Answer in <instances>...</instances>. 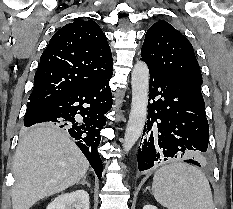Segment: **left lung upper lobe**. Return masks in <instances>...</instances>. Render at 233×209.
I'll return each instance as SVG.
<instances>
[{"mask_svg":"<svg viewBox=\"0 0 233 209\" xmlns=\"http://www.w3.org/2000/svg\"><path fill=\"white\" fill-rule=\"evenodd\" d=\"M141 57L149 67L181 78L201 91L202 76L193 47L168 22L158 21L149 28Z\"/></svg>","mask_w":233,"mask_h":209,"instance_id":"5c2ea615","label":"left lung upper lobe"}]
</instances>
